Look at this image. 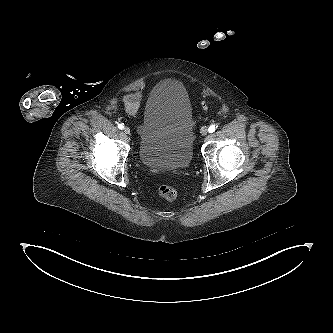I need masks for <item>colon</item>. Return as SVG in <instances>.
<instances>
[{"mask_svg": "<svg viewBox=\"0 0 333 333\" xmlns=\"http://www.w3.org/2000/svg\"><path fill=\"white\" fill-rule=\"evenodd\" d=\"M158 194L166 201H173L177 197V191L175 188L165 184L159 187Z\"/></svg>", "mask_w": 333, "mask_h": 333, "instance_id": "obj_1", "label": "colon"}]
</instances>
